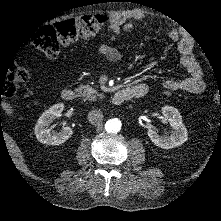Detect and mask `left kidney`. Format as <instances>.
<instances>
[{
	"label": "left kidney",
	"instance_id": "left-kidney-1",
	"mask_svg": "<svg viewBox=\"0 0 221 221\" xmlns=\"http://www.w3.org/2000/svg\"><path fill=\"white\" fill-rule=\"evenodd\" d=\"M161 111L170 124L171 133L160 135L155 128H152L148 130V136L155 145L161 148L169 149L181 145L188 139V131L180 111L168 105H161Z\"/></svg>",
	"mask_w": 221,
	"mask_h": 221
}]
</instances>
